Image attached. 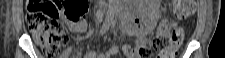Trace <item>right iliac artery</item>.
I'll list each match as a JSON object with an SVG mask.
<instances>
[{"label":"right iliac artery","mask_w":225,"mask_h":58,"mask_svg":"<svg viewBox=\"0 0 225 58\" xmlns=\"http://www.w3.org/2000/svg\"><path fill=\"white\" fill-rule=\"evenodd\" d=\"M112 23H113V16L110 14V15L107 16V18L103 22V25H102V27L100 29V32H99V35L105 34L109 30Z\"/></svg>","instance_id":"82829eb1"}]
</instances>
